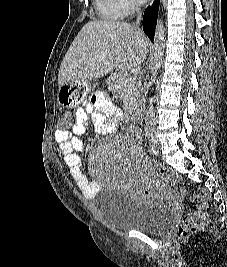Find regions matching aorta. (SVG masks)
<instances>
[{"label":"aorta","mask_w":227,"mask_h":267,"mask_svg":"<svg viewBox=\"0 0 227 267\" xmlns=\"http://www.w3.org/2000/svg\"><path fill=\"white\" fill-rule=\"evenodd\" d=\"M165 49V28L162 19L158 18L155 28L154 36V55H153V72L152 83H155V79L158 75V70L162 65V59ZM153 100V98H151Z\"/></svg>","instance_id":"1"}]
</instances>
